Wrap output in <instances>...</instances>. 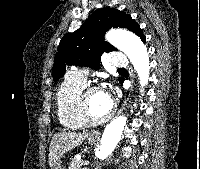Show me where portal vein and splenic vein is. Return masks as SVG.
<instances>
[{
  "label": "portal vein and splenic vein",
  "instance_id": "18ae733b",
  "mask_svg": "<svg viewBox=\"0 0 200 169\" xmlns=\"http://www.w3.org/2000/svg\"><path fill=\"white\" fill-rule=\"evenodd\" d=\"M83 164H84V165H88V164H89V162H83ZM86 169H88V168H86Z\"/></svg>",
  "mask_w": 200,
  "mask_h": 169
}]
</instances>
